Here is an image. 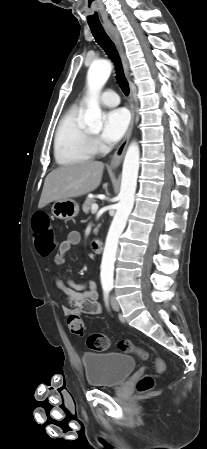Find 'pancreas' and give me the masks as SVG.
Returning a JSON list of instances; mask_svg holds the SVG:
<instances>
[{"label": "pancreas", "instance_id": "1", "mask_svg": "<svg viewBox=\"0 0 207 449\" xmlns=\"http://www.w3.org/2000/svg\"><path fill=\"white\" fill-rule=\"evenodd\" d=\"M94 203H95V199H93V198H86V200H85V202H84V204L82 206L83 212L85 214H88L90 209H91V207H92V205ZM97 232H98V228H95L94 233L97 234Z\"/></svg>", "mask_w": 207, "mask_h": 449}]
</instances>
